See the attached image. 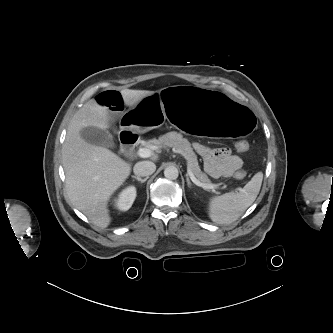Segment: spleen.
I'll return each instance as SVG.
<instances>
[{
  "mask_svg": "<svg viewBox=\"0 0 333 333\" xmlns=\"http://www.w3.org/2000/svg\"><path fill=\"white\" fill-rule=\"evenodd\" d=\"M263 173H256L238 193L216 195L208 201V216L217 224H231L252 205L261 189Z\"/></svg>",
  "mask_w": 333,
  "mask_h": 333,
  "instance_id": "1",
  "label": "spleen"
}]
</instances>
